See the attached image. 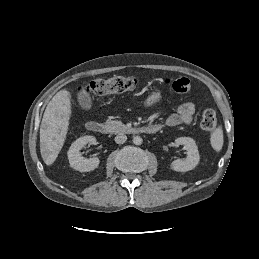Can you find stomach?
Segmentation results:
<instances>
[{
  "instance_id": "stomach-1",
  "label": "stomach",
  "mask_w": 259,
  "mask_h": 259,
  "mask_svg": "<svg viewBox=\"0 0 259 259\" xmlns=\"http://www.w3.org/2000/svg\"><path fill=\"white\" fill-rule=\"evenodd\" d=\"M161 100H162L161 93L159 91L155 90L148 95V97L144 101V105L147 107H151V106H154V105L160 103Z\"/></svg>"
}]
</instances>
